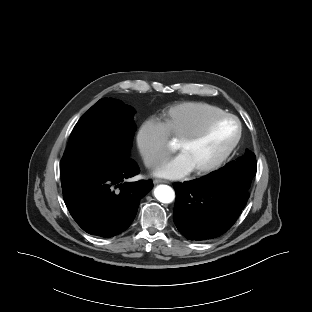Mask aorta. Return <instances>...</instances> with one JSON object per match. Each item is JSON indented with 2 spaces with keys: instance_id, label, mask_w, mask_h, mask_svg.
Masks as SVG:
<instances>
[{
  "instance_id": "762f6f07",
  "label": "aorta",
  "mask_w": 312,
  "mask_h": 312,
  "mask_svg": "<svg viewBox=\"0 0 312 312\" xmlns=\"http://www.w3.org/2000/svg\"><path fill=\"white\" fill-rule=\"evenodd\" d=\"M154 195L162 203H171L175 199V192L168 185L157 186L154 190Z\"/></svg>"
}]
</instances>
